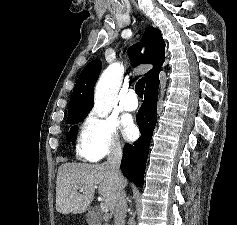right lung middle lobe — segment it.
Masks as SVG:
<instances>
[{"mask_svg":"<svg viewBox=\"0 0 237 225\" xmlns=\"http://www.w3.org/2000/svg\"><path fill=\"white\" fill-rule=\"evenodd\" d=\"M87 115H88V112H85V111L69 112L68 118H67V123L68 124H77L80 121H82ZM76 133H77V126H72L70 131L66 134V140L68 142H74Z\"/></svg>","mask_w":237,"mask_h":225,"instance_id":"right-lung-middle-lobe-1","label":"right lung middle lobe"}]
</instances>
